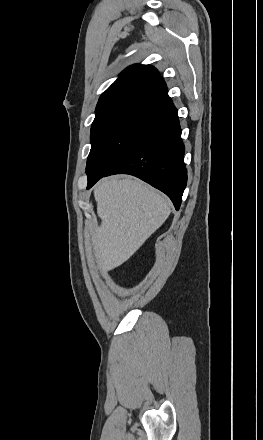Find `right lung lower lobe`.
<instances>
[{"label": "right lung lower lobe", "mask_w": 263, "mask_h": 440, "mask_svg": "<svg viewBox=\"0 0 263 440\" xmlns=\"http://www.w3.org/2000/svg\"><path fill=\"white\" fill-rule=\"evenodd\" d=\"M184 152L177 109L169 98L109 170L88 180L87 189L102 177L130 174L164 192L178 210L187 183Z\"/></svg>", "instance_id": "obj_1"}]
</instances>
